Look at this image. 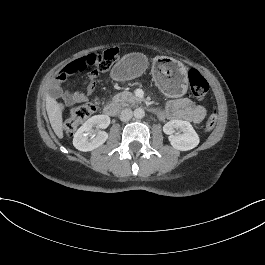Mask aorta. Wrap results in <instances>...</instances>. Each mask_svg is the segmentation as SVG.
Masks as SVG:
<instances>
[{"label":"aorta","instance_id":"762f6f07","mask_svg":"<svg viewBox=\"0 0 265 265\" xmlns=\"http://www.w3.org/2000/svg\"><path fill=\"white\" fill-rule=\"evenodd\" d=\"M134 117L137 118V119H142L144 116H145V112H144V109L142 108H136L134 110Z\"/></svg>","mask_w":265,"mask_h":265}]
</instances>
